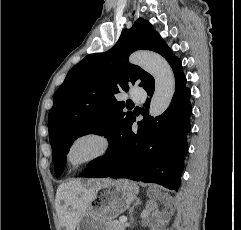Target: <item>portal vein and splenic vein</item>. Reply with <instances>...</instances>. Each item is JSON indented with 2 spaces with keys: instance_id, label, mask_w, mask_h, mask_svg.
Segmentation results:
<instances>
[{
  "instance_id": "obj_1",
  "label": "portal vein and splenic vein",
  "mask_w": 241,
  "mask_h": 230,
  "mask_svg": "<svg viewBox=\"0 0 241 230\" xmlns=\"http://www.w3.org/2000/svg\"><path fill=\"white\" fill-rule=\"evenodd\" d=\"M120 221L123 222V223H126L127 222V218L126 217H120Z\"/></svg>"
}]
</instances>
